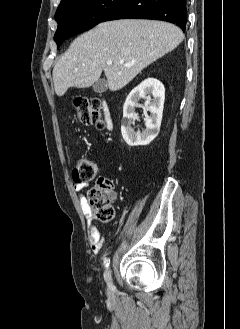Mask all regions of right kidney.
Instances as JSON below:
<instances>
[{"mask_svg": "<svg viewBox=\"0 0 240 329\" xmlns=\"http://www.w3.org/2000/svg\"><path fill=\"white\" fill-rule=\"evenodd\" d=\"M151 95L153 99H151ZM146 99L145 107L151 116H145L146 128L140 132L134 131L131 124L137 119L135 107L141 99ZM165 88L154 78H148L135 87L127 96L123 106V120L121 126L122 137L129 146H146L158 135L161 126Z\"/></svg>", "mask_w": 240, "mask_h": 329, "instance_id": "obj_1", "label": "right kidney"}]
</instances>
